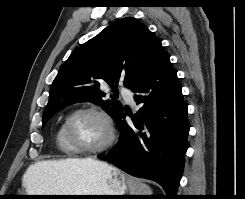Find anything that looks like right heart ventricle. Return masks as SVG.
I'll return each mask as SVG.
<instances>
[{
	"mask_svg": "<svg viewBox=\"0 0 245 199\" xmlns=\"http://www.w3.org/2000/svg\"><path fill=\"white\" fill-rule=\"evenodd\" d=\"M55 142L57 147L66 155V156H74L76 152L72 149V147L68 144L65 139L63 133V124L59 126L55 135Z\"/></svg>",
	"mask_w": 245,
	"mask_h": 199,
	"instance_id": "1",
	"label": "right heart ventricle"
}]
</instances>
